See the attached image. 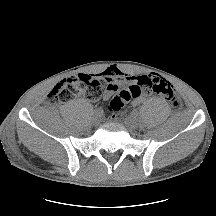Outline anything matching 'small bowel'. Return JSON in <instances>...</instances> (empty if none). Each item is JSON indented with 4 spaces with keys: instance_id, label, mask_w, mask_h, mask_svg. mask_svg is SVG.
<instances>
[{
    "instance_id": "obj_1",
    "label": "small bowel",
    "mask_w": 216,
    "mask_h": 216,
    "mask_svg": "<svg viewBox=\"0 0 216 216\" xmlns=\"http://www.w3.org/2000/svg\"><path fill=\"white\" fill-rule=\"evenodd\" d=\"M102 78L106 87L103 93L105 100L109 99L120 87L132 86L138 84V82L146 75L134 76L120 70L117 67H110L102 71L97 75ZM149 92L143 91L140 95L132 99L133 105H138L144 100V95H148Z\"/></svg>"
}]
</instances>
